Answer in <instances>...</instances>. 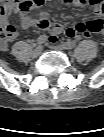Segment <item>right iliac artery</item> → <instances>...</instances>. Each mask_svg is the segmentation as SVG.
<instances>
[{
    "mask_svg": "<svg viewBox=\"0 0 104 137\" xmlns=\"http://www.w3.org/2000/svg\"><path fill=\"white\" fill-rule=\"evenodd\" d=\"M36 41H37V44H43L46 41V37L40 36Z\"/></svg>",
    "mask_w": 104,
    "mask_h": 137,
    "instance_id": "right-iliac-artery-1",
    "label": "right iliac artery"
}]
</instances>
